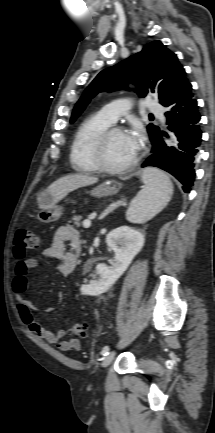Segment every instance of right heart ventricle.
Listing matches in <instances>:
<instances>
[{
  "label": "right heart ventricle",
  "mask_w": 215,
  "mask_h": 433,
  "mask_svg": "<svg viewBox=\"0 0 215 433\" xmlns=\"http://www.w3.org/2000/svg\"><path fill=\"white\" fill-rule=\"evenodd\" d=\"M112 123L105 119L100 113L88 117L78 128L70 150V161L72 167L79 172H96L93 160V145L96 138Z\"/></svg>",
  "instance_id": "1"
}]
</instances>
